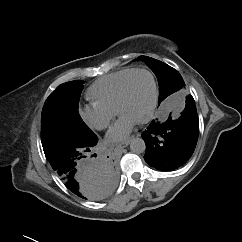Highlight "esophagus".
<instances>
[{"label":"esophagus","mask_w":242,"mask_h":242,"mask_svg":"<svg viewBox=\"0 0 242 242\" xmlns=\"http://www.w3.org/2000/svg\"><path fill=\"white\" fill-rule=\"evenodd\" d=\"M129 144H130V139H128V140H126V141H124V142H121V143L118 145V147H120V148H125V147H127Z\"/></svg>","instance_id":"34e87169"}]
</instances>
